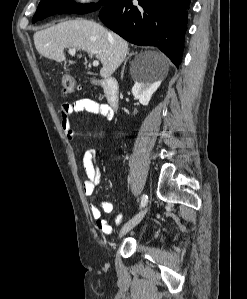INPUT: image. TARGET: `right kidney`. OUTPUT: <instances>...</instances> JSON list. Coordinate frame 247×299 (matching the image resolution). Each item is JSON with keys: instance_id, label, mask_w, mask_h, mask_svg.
<instances>
[{"instance_id": "obj_1", "label": "right kidney", "mask_w": 247, "mask_h": 299, "mask_svg": "<svg viewBox=\"0 0 247 299\" xmlns=\"http://www.w3.org/2000/svg\"><path fill=\"white\" fill-rule=\"evenodd\" d=\"M160 84L161 81L142 82L136 80L132 88V93L142 105L147 106L151 100L153 93L158 89Z\"/></svg>"}]
</instances>
